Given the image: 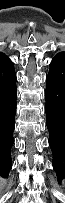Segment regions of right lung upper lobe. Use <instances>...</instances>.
<instances>
[{"instance_id": "cb5924a9", "label": "right lung upper lobe", "mask_w": 65, "mask_h": 203, "mask_svg": "<svg viewBox=\"0 0 65 203\" xmlns=\"http://www.w3.org/2000/svg\"><path fill=\"white\" fill-rule=\"evenodd\" d=\"M12 64V61L8 57L0 53V67L2 66L3 68H7Z\"/></svg>"}]
</instances>
